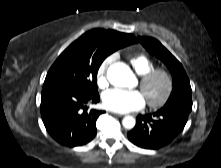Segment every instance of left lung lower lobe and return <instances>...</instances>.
Wrapping results in <instances>:
<instances>
[{
	"label": "left lung lower lobe",
	"mask_w": 221,
	"mask_h": 168,
	"mask_svg": "<svg viewBox=\"0 0 221 168\" xmlns=\"http://www.w3.org/2000/svg\"><path fill=\"white\" fill-rule=\"evenodd\" d=\"M192 108L176 106L139 115L128 139L145 149H159L169 144L184 128Z\"/></svg>",
	"instance_id": "0a47b994"
}]
</instances>
